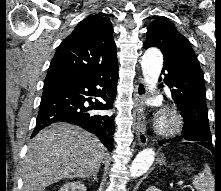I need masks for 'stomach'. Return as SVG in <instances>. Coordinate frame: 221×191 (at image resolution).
<instances>
[{"instance_id":"1","label":"stomach","mask_w":221,"mask_h":191,"mask_svg":"<svg viewBox=\"0 0 221 191\" xmlns=\"http://www.w3.org/2000/svg\"><path fill=\"white\" fill-rule=\"evenodd\" d=\"M159 164H164L165 163V157L164 156H161L158 160Z\"/></svg>"}]
</instances>
